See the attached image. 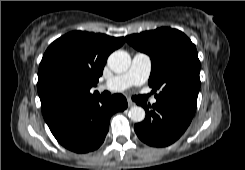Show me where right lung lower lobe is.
Segmentation results:
<instances>
[{
	"label": "right lung lower lobe",
	"instance_id": "98d812e1",
	"mask_svg": "<svg viewBox=\"0 0 245 170\" xmlns=\"http://www.w3.org/2000/svg\"><path fill=\"white\" fill-rule=\"evenodd\" d=\"M127 108L121 94L104 99L100 95L71 108L49 128L57 141L65 148L86 153L97 149L109 130L110 117Z\"/></svg>",
	"mask_w": 245,
	"mask_h": 170
}]
</instances>
